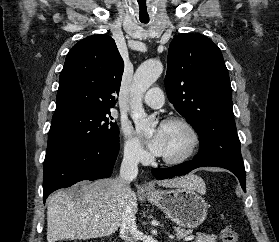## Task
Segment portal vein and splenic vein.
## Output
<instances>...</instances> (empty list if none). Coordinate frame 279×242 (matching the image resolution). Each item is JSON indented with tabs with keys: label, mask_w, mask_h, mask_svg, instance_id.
Masks as SVG:
<instances>
[{
	"label": "portal vein and splenic vein",
	"mask_w": 279,
	"mask_h": 242,
	"mask_svg": "<svg viewBox=\"0 0 279 242\" xmlns=\"http://www.w3.org/2000/svg\"><path fill=\"white\" fill-rule=\"evenodd\" d=\"M192 239H194V236H193V235H190V236L185 237V238H184V241H190V240H192Z\"/></svg>",
	"instance_id": "18ae733b"
}]
</instances>
